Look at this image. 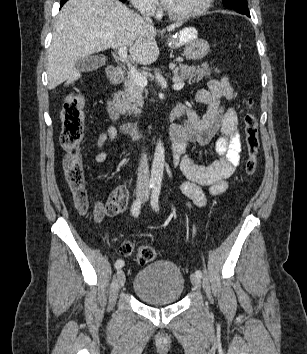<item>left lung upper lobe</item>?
Instances as JSON below:
<instances>
[{"mask_svg":"<svg viewBox=\"0 0 307 354\" xmlns=\"http://www.w3.org/2000/svg\"><path fill=\"white\" fill-rule=\"evenodd\" d=\"M223 5L226 8L233 9L241 14L250 16L247 0H223Z\"/></svg>","mask_w":307,"mask_h":354,"instance_id":"5c2ea615","label":"left lung upper lobe"}]
</instances>
